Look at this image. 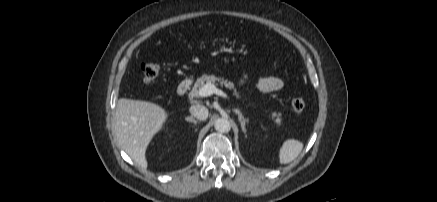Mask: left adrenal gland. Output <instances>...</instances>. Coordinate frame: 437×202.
Instances as JSON below:
<instances>
[{
  "label": "left adrenal gland",
  "instance_id": "left-adrenal-gland-1",
  "mask_svg": "<svg viewBox=\"0 0 437 202\" xmlns=\"http://www.w3.org/2000/svg\"><path fill=\"white\" fill-rule=\"evenodd\" d=\"M233 111L238 115V120H239V122H240V124H241L242 131L246 134V128H245V125H246L247 119L244 118V116L242 115V113L240 112V110H238V109H234Z\"/></svg>",
  "mask_w": 437,
  "mask_h": 202
}]
</instances>
